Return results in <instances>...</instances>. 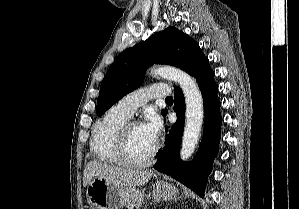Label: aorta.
Listing matches in <instances>:
<instances>
[{"label":"aorta","instance_id":"aorta-1","mask_svg":"<svg viewBox=\"0 0 299 209\" xmlns=\"http://www.w3.org/2000/svg\"><path fill=\"white\" fill-rule=\"evenodd\" d=\"M152 76L172 80L181 87L186 103L185 128L182 137L180 158L188 160L198 143L204 119L203 97L197 82L186 72L170 66L153 67Z\"/></svg>","mask_w":299,"mask_h":209}]
</instances>
